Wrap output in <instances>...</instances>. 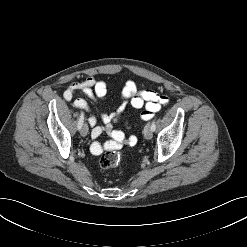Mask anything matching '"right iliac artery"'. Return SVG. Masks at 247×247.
I'll return each instance as SVG.
<instances>
[{"instance_id":"obj_1","label":"right iliac artery","mask_w":247,"mask_h":247,"mask_svg":"<svg viewBox=\"0 0 247 247\" xmlns=\"http://www.w3.org/2000/svg\"><path fill=\"white\" fill-rule=\"evenodd\" d=\"M83 122H84V113L81 112V115H80V118H79V121H78V129H81L82 125H83Z\"/></svg>"}]
</instances>
